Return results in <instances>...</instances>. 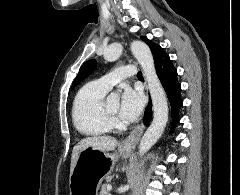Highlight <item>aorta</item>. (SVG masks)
Listing matches in <instances>:
<instances>
[{
    "instance_id": "aorta-1",
    "label": "aorta",
    "mask_w": 240,
    "mask_h": 195,
    "mask_svg": "<svg viewBox=\"0 0 240 195\" xmlns=\"http://www.w3.org/2000/svg\"><path fill=\"white\" fill-rule=\"evenodd\" d=\"M122 52L123 46L121 44H110L104 50V60L114 62V60L120 58ZM131 52L134 58L138 60L144 72L154 109L153 121L148 129H146L139 145L140 155H144L145 151H148L156 143L166 127L168 121V103L161 82H159L156 74L150 48L146 44H143V42H132ZM131 195H136V191H133Z\"/></svg>"
}]
</instances>
